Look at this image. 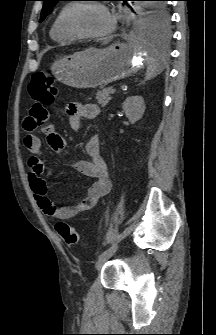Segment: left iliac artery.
Masks as SVG:
<instances>
[{
  "label": "left iliac artery",
  "mask_w": 216,
  "mask_h": 335,
  "mask_svg": "<svg viewBox=\"0 0 216 335\" xmlns=\"http://www.w3.org/2000/svg\"><path fill=\"white\" fill-rule=\"evenodd\" d=\"M116 250H117V244H112L111 246H109L100 253L99 258L105 256H111L113 253H115Z\"/></svg>",
  "instance_id": "obj_1"
}]
</instances>
